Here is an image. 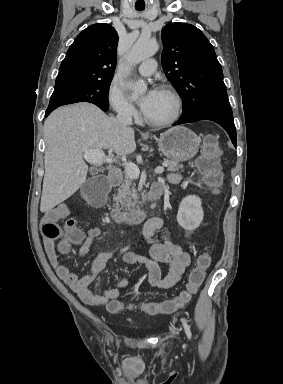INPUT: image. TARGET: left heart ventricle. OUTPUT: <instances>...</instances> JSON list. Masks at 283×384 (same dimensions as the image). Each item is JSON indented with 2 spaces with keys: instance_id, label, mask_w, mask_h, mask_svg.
<instances>
[{
  "instance_id": "obj_1",
  "label": "left heart ventricle",
  "mask_w": 283,
  "mask_h": 384,
  "mask_svg": "<svg viewBox=\"0 0 283 384\" xmlns=\"http://www.w3.org/2000/svg\"><path fill=\"white\" fill-rule=\"evenodd\" d=\"M173 111V104L170 97L159 89L158 94L147 112H142L143 116L149 120H164Z\"/></svg>"
}]
</instances>
